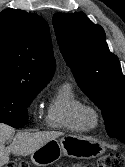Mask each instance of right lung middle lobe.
<instances>
[{"mask_svg":"<svg viewBox=\"0 0 125 167\" xmlns=\"http://www.w3.org/2000/svg\"><path fill=\"white\" fill-rule=\"evenodd\" d=\"M40 91H15L0 88V122L15 128H22L28 122L27 107Z\"/></svg>","mask_w":125,"mask_h":167,"instance_id":"dd1d6c3e","label":"right lung middle lobe"}]
</instances>
